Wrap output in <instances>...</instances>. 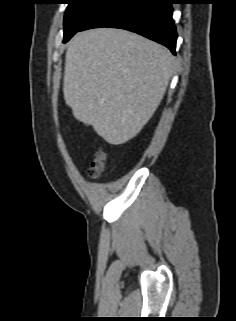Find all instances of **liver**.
<instances>
[{"label":"liver","mask_w":236,"mask_h":321,"mask_svg":"<svg viewBox=\"0 0 236 321\" xmlns=\"http://www.w3.org/2000/svg\"><path fill=\"white\" fill-rule=\"evenodd\" d=\"M175 58L164 46L122 29L98 28L70 41L63 93L73 116L112 145L135 137L166 92Z\"/></svg>","instance_id":"liver-1"}]
</instances>
